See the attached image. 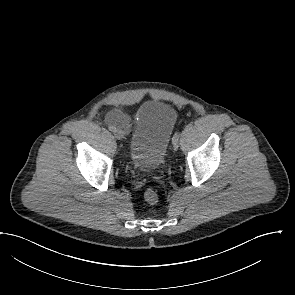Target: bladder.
Returning a JSON list of instances; mask_svg holds the SVG:
<instances>
[{
  "label": "bladder",
  "mask_w": 295,
  "mask_h": 295,
  "mask_svg": "<svg viewBox=\"0 0 295 295\" xmlns=\"http://www.w3.org/2000/svg\"><path fill=\"white\" fill-rule=\"evenodd\" d=\"M175 121V110L160 100L139 107L129 142L130 158L138 169L155 171L161 166Z\"/></svg>",
  "instance_id": "bladder-1"
}]
</instances>
